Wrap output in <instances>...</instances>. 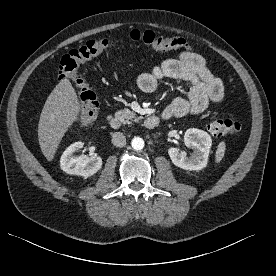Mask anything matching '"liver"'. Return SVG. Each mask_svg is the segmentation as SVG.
Returning <instances> with one entry per match:
<instances>
[{
  "label": "liver",
  "mask_w": 276,
  "mask_h": 276,
  "mask_svg": "<svg viewBox=\"0 0 276 276\" xmlns=\"http://www.w3.org/2000/svg\"><path fill=\"white\" fill-rule=\"evenodd\" d=\"M80 103L68 79L61 80L48 96L38 124V140L48 161L54 159L56 150L68 128L77 119Z\"/></svg>",
  "instance_id": "1"
}]
</instances>
